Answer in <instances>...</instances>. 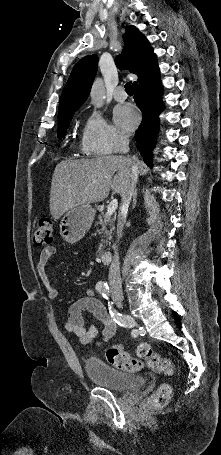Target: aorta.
I'll list each match as a JSON object with an SVG mask.
<instances>
[{
    "mask_svg": "<svg viewBox=\"0 0 221 455\" xmlns=\"http://www.w3.org/2000/svg\"><path fill=\"white\" fill-rule=\"evenodd\" d=\"M90 97L95 107L100 108L105 98V87L102 79L96 78L90 92Z\"/></svg>",
    "mask_w": 221,
    "mask_h": 455,
    "instance_id": "obj_1",
    "label": "aorta"
}]
</instances>
